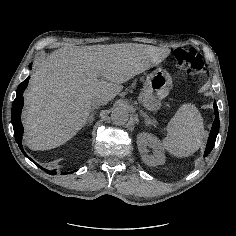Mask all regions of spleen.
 Returning a JSON list of instances; mask_svg holds the SVG:
<instances>
[{"instance_id":"1","label":"spleen","mask_w":236,"mask_h":236,"mask_svg":"<svg viewBox=\"0 0 236 236\" xmlns=\"http://www.w3.org/2000/svg\"><path fill=\"white\" fill-rule=\"evenodd\" d=\"M166 149L176 156H188L199 149L206 132L202 118L192 104H182L166 126Z\"/></svg>"}]
</instances>
